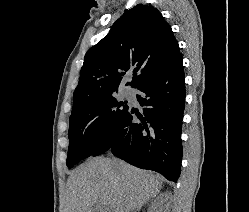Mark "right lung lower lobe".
<instances>
[{
  "instance_id": "1",
  "label": "right lung lower lobe",
  "mask_w": 249,
  "mask_h": 212,
  "mask_svg": "<svg viewBox=\"0 0 249 212\" xmlns=\"http://www.w3.org/2000/svg\"><path fill=\"white\" fill-rule=\"evenodd\" d=\"M143 114L128 108L112 127L98 154L115 156L177 182L181 171V127L185 103L182 54L138 88ZM140 123H133L135 115Z\"/></svg>"
}]
</instances>
